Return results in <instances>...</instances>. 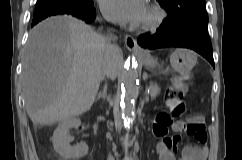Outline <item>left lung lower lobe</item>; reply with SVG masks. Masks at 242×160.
Returning a JSON list of instances; mask_svg holds the SVG:
<instances>
[{
    "mask_svg": "<svg viewBox=\"0 0 242 160\" xmlns=\"http://www.w3.org/2000/svg\"><path fill=\"white\" fill-rule=\"evenodd\" d=\"M207 25L192 24L171 31L168 26L162 23L154 35L142 34L138 37L137 42L140 46L148 49L162 47L189 48L201 54L215 67Z\"/></svg>",
    "mask_w": 242,
    "mask_h": 160,
    "instance_id": "left-lung-lower-lobe-1",
    "label": "left lung lower lobe"
}]
</instances>
